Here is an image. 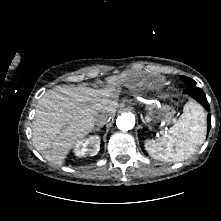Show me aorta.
Segmentation results:
<instances>
[{"mask_svg": "<svg viewBox=\"0 0 221 221\" xmlns=\"http://www.w3.org/2000/svg\"><path fill=\"white\" fill-rule=\"evenodd\" d=\"M116 125L122 131L131 130L135 125V118L130 113H123L117 118Z\"/></svg>", "mask_w": 221, "mask_h": 221, "instance_id": "obj_1", "label": "aorta"}]
</instances>
